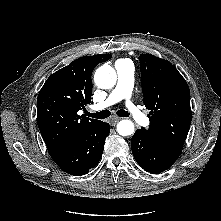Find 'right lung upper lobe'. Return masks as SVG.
I'll return each mask as SVG.
<instances>
[{
	"label": "right lung upper lobe",
	"instance_id": "right-lung-upper-lobe-1",
	"mask_svg": "<svg viewBox=\"0 0 221 221\" xmlns=\"http://www.w3.org/2000/svg\"><path fill=\"white\" fill-rule=\"evenodd\" d=\"M110 58V54L80 57L44 83L37 98V123L50 156L100 122L78 111L91 102L94 67Z\"/></svg>",
	"mask_w": 221,
	"mask_h": 221
}]
</instances>
